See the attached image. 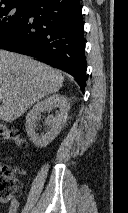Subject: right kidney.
<instances>
[{"label": "right kidney", "instance_id": "1", "mask_svg": "<svg viewBox=\"0 0 128 213\" xmlns=\"http://www.w3.org/2000/svg\"><path fill=\"white\" fill-rule=\"evenodd\" d=\"M55 107L59 108L58 114L47 117L45 120L47 131L39 135L35 131L38 117L41 112H50ZM69 110L70 103L68 99L60 94H53L37 102L26 116L25 127L29 139L38 147L47 146L61 131L62 126L66 122Z\"/></svg>", "mask_w": 128, "mask_h": 213}]
</instances>
